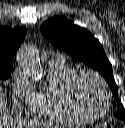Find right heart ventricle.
<instances>
[{
	"label": "right heart ventricle",
	"mask_w": 125,
	"mask_h": 128,
	"mask_svg": "<svg viewBox=\"0 0 125 128\" xmlns=\"http://www.w3.org/2000/svg\"><path fill=\"white\" fill-rule=\"evenodd\" d=\"M75 72L64 60L50 61L47 82L35 92L30 101L31 113L39 118L69 125L85 123V119L70 107L64 87L69 77Z\"/></svg>",
	"instance_id": "right-heart-ventricle-1"
}]
</instances>
